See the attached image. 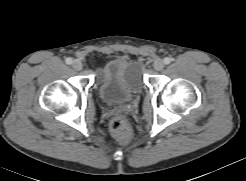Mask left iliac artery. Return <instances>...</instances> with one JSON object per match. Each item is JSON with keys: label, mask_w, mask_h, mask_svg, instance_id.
Instances as JSON below:
<instances>
[{"label": "left iliac artery", "mask_w": 246, "mask_h": 181, "mask_svg": "<svg viewBox=\"0 0 246 181\" xmlns=\"http://www.w3.org/2000/svg\"><path fill=\"white\" fill-rule=\"evenodd\" d=\"M171 61H172V58H169V57L164 58L165 64H169V63H171Z\"/></svg>", "instance_id": "1"}]
</instances>
